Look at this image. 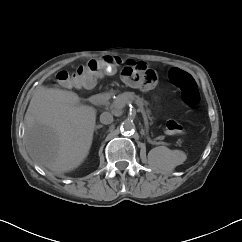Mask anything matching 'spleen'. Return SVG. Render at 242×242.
<instances>
[{
  "mask_svg": "<svg viewBox=\"0 0 242 242\" xmlns=\"http://www.w3.org/2000/svg\"><path fill=\"white\" fill-rule=\"evenodd\" d=\"M159 155L157 156V163L163 169H171L176 164L178 157L176 151L170 150L166 147H159Z\"/></svg>",
  "mask_w": 242,
  "mask_h": 242,
  "instance_id": "1",
  "label": "spleen"
}]
</instances>
